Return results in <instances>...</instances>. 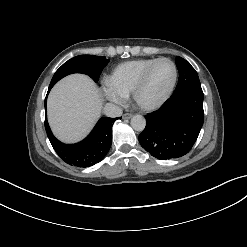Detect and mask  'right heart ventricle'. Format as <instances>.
Listing matches in <instances>:
<instances>
[{
    "mask_svg": "<svg viewBox=\"0 0 247 247\" xmlns=\"http://www.w3.org/2000/svg\"><path fill=\"white\" fill-rule=\"evenodd\" d=\"M156 58H141L123 62L117 65L107 81L124 95L132 92L143 70Z\"/></svg>",
    "mask_w": 247,
    "mask_h": 247,
    "instance_id": "1",
    "label": "right heart ventricle"
}]
</instances>
